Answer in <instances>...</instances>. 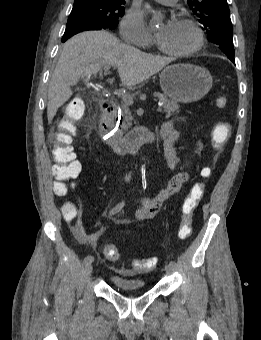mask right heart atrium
Here are the masks:
<instances>
[{
  "label": "right heart atrium",
  "instance_id": "obj_1",
  "mask_svg": "<svg viewBox=\"0 0 261 340\" xmlns=\"http://www.w3.org/2000/svg\"><path fill=\"white\" fill-rule=\"evenodd\" d=\"M120 36L130 44L147 48L154 42V37L148 30L143 14L135 9L129 10L120 22Z\"/></svg>",
  "mask_w": 261,
  "mask_h": 340
}]
</instances>
